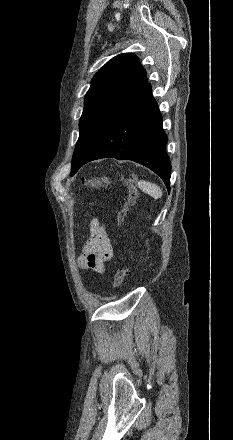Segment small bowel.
<instances>
[{
	"label": "small bowel",
	"mask_w": 233,
	"mask_h": 440,
	"mask_svg": "<svg viewBox=\"0 0 233 440\" xmlns=\"http://www.w3.org/2000/svg\"><path fill=\"white\" fill-rule=\"evenodd\" d=\"M89 232L90 235L78 257V265L81 269L102 273L105 264L113 257V246L107 226L95 218L89 224Z\"/></svg>",
	"instance_id": "small-bowel-1"
}]
</instances>
